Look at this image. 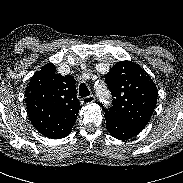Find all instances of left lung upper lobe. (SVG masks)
Masks as SVG:
<instances>
[{
  "mask_svg": "<svg viewBox=\"0 0 183 183\" xmlns=\"http://www.w3.org/2000/svg\"><path fill=\"white\" fill-rule=\"evenodd\" d=\"M105 81L114 99L110 109L102 107L104 116L145 127L158 96L157 87L150 76L136 63L122 61L110 69Z\"/></svg>",
  "mask_w": 183,
  "mask_h": 183,
  "instance_id": "obj_1",
  "label": "left lung upper lobe"
}]
</instances>
